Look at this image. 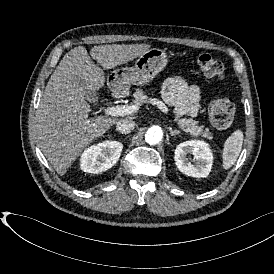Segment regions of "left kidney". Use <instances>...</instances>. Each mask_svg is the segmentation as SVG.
Returning <instances> with one entry per match:
<instances>
[{
	"label": "left kidney",
	"mask_w": 274,
	"mask_h": 274,
	"mask_svg": "<svg viewBox=\"0 0 274 274\" xmlns=\"http://www.w3.org/2000/svg\"><path fill=\"white\" fill-rule=\"evenodd\" d=\"M187 154L193 155L192 164ZM177 168L185 175L197 178L208 176L212 166V154L208 144L199 140L180 143L174 151Z\"/></svg>",
	"instance_id": "5707ae66"
}]
</instances>
